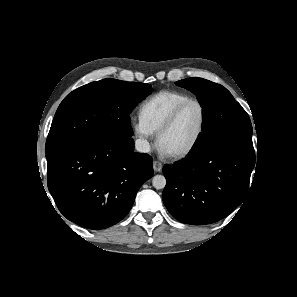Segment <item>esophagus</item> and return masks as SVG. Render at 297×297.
<instances>
[{
    "label": "esophagus",
    "instance_id": "obj_1",
    "mask_svg": "<svg viewBox=\"0 0 297 297\" xmlns=\"http://www.w3.org/2000/svg\"><path fill=\"white\" fill-rule=\"evenodd\" d=\"M153 169L155 172H160L162 170V163L159 161H154Z\"/></svg>",
    "mask_w": 297,
    "mask_h": 297
}]
</instances>
